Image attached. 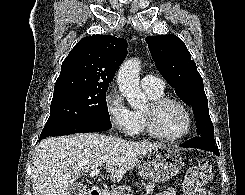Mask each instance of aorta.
<instances>
[{"label": "aorta", "mask_w": 245, "mask_h": 195, "mask_svg": "<svg viewBox=\"0 0 245 195\" xmlns=\"http://www.w3.org/2000/svg\"><path fill=\"white\" fill-rule=\"evenodd\" d=\"M139 73V60L129 59L121 65L117 74L119 90L134 109H140L146 103L145 96L140 89Z\"/></svg>", "instance_id": "762f6f07"}]
</instances>
